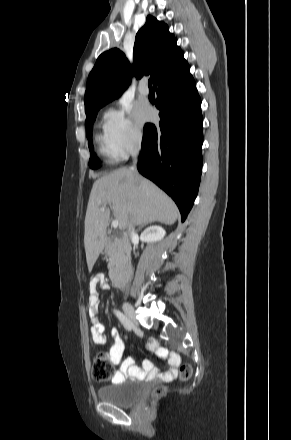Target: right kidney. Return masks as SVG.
Listing matches in <instances>:
<instances>
[{
    "label": "right kidney",
    "instance_id": "obj_1",
    "mask_svg": "<svg viewBox=\"0 0 291 440\" xmlns=\"http://www.w3.org/2000/svg\"><path fill=\"white\" fill-rule=\"evenodd\" d=\"M166 232L165 230L160 226H150L146 228L141 236L140 239L142 242H157L163 239Z\"/></svg>",
    "mask_w": 291,
    "mask_h": 440
}]
</instances>
